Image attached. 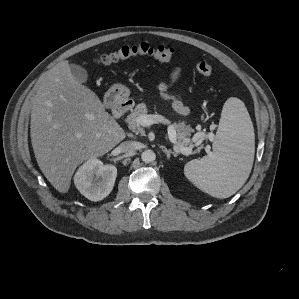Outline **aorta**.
Segmentation results:
<instances>
[{
    "mask_svg": "<svg viewBox=\"0 0 299 299\" xmlns=\"http://www.w3.org/2000/svg\"><path fill=\"white\" fill-rule=\"evenodd\" d=\"M156 158V154L152 150H145L141 154V159L145 163L153 162Z\"/></svg>",
    "mask_w": 299,
    "mask_h": 299,
    "instance_id": "aorta-1",
    "label": "aorta"
}]
</instances>
